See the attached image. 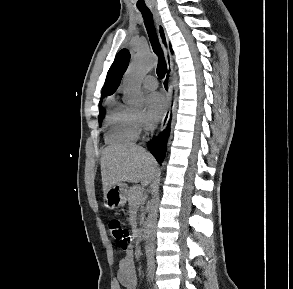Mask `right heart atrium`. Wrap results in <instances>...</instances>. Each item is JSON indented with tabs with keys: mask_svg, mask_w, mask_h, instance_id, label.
Masks as SVG:
<instances>
[{
	"mask_svg": "<svg viewBox=\"0 0 293 289\" xmlns=\"http://www.w3.org/2000/svg\"><path fill=\"white\" fill-rule=\"evenodd\" d=\"M136 121L139 128L145 131L149 130L150 124L142 114H136Z\"/></svg>",
	"mask_w": 293,
	"mask_h": 289,
	"instance_id": "1",
	"label": "right heart atrium"
}]
</instances>
